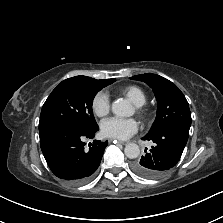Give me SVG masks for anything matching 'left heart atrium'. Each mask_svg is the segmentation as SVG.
<instances>
[{
	"instance_id": "left-heart-atrium-1",
	"label": "left heart atrium",
	"mask_w": 223,
	"mask_h": 223,
	"mask_svg": "<svg viewBox=\"0 0 223 223\" xmlns=\"http://www.w3.org/2000/svg\"><path fill=\"white\" fill-rule=\"evenodd\" d=\"M102 133L113 139L126 140L138 131V122L133 118H109L101 124Z\"/></svg>"
}]
</instances>
